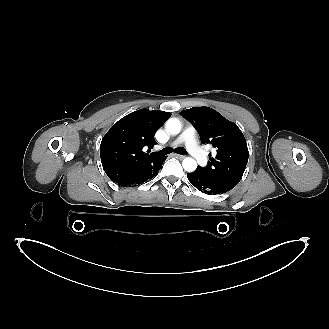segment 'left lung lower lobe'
<instances>
[{"label":"left lung lower lobe","mask_w":329,"mask_h":329,"mask_svg":"<svg viewBox=\"0 0 329 329\" xmlns=\"http://www.w3.org/2000/svg\"><path fill=\"white\" fill-rule=\"evenodd\" d=\"M187 178L198 190L209 195L226 193L233 189L228 185L211 179L205 173L197 169L192 173H187Z\"/></svg>","instance_id":"left-lung-lower-lobe-1"}]
</instances>
